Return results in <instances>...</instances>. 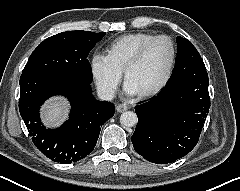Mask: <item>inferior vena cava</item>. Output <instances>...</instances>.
Here are the masks:
<instances>
[{
    "label": "inferior vena cava",
    "instance_id": "602c4592",
    "mask_svg": "<svg viewBox=\"0 0 240 191\" xmlns=\"http://www.w3.org/2000/svg\"><path fill=\"white\" fill-rule=\"evenodd\" d=\"M97 95L100 100L111 101L114 98L115 93L112 88H98Z\"/></svg>",
    "mask_w": 240,
    "mask_h": 191
}]
</instances>
